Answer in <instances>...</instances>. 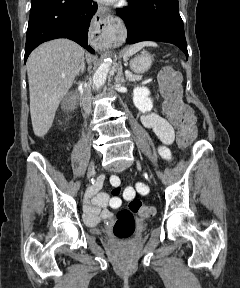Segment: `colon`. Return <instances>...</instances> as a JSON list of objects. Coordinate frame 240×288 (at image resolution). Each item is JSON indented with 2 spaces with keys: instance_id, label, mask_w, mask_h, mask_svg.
I'll return each mask as SVG.
<instances>
[{
  "instance_id": "1",
  "label": "colon",
  "mask_w": 240,
  "mask_h": 288,
  "mask_svg": "<svg viewBox=\"0 0 240 288\" xmlns=\"http://www.w3.org/2000/svg\"><path fill=\"white\" fill-rule=\"evenodd\" d=\"M180 75L171 67L163 68L159 73V87L163 98V111L170 122L178 129V139L182 145L189 144L195 136L194 118L191 109L181 100ZM128 209L118 213L113 227L114 235L119 239L130 238L135 231L134 216L147 218L154 215L153 207L144 205L139 199L128 197Z\"/></svg>"
}]
</instances>
